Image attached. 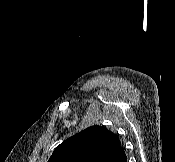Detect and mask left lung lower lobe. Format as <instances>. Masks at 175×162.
I'll use <instances>...</instances> for the list:
<instances>
[{"label": "left lung lower lobe", "instance_id": "obj_1", "mask_svg": "<svg viewBox=\"0 0 175 162\" xmlns=\"http://www.w3.org/2000/svg\"><path fill=\"white\" fill-rule=\"evenodd\" d=\"M105 162H127L123 147L120 145L108 156Z\"/></svg>", "mask_w": 175, "mask_h": 162}]
</instances>
